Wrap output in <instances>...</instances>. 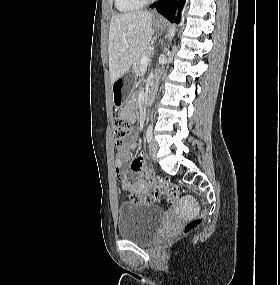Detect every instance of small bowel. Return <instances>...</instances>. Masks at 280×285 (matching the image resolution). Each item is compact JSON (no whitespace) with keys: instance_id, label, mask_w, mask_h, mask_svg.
<instances>
[{"instance_id":"c3829d8e","label":"small bowel","mask_w":280,"mask_h":285,"mask_svg":"<svg viewBox=\"0 0 280 285\" xmlns=\"http://www.w3.org/2000/svg\"><path fill=\"white\" fill-rule=\"evenodd\" d=\"M122 116H127V112H122ZM137 143L135 140L129 141L123 148L120 149V154L115 160V169L117 178L122 189L126 193L151 194L154 189V184L148 180L145 172L148 170L146 166V157L141 154L134 158L130 165L126 167L130 158L131 151L135 150ZM137 174L139 178L131 180L129 174Z\"/></svg>"}]
</instances>
